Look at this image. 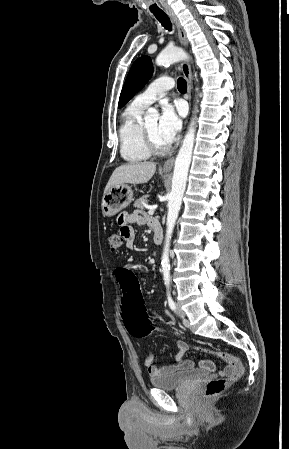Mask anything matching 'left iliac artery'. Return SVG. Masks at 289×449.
<instances>
[{"mask_svg":"<svg viewBox=\"0 0 289 449\" xmlns=\"http://www.w3.org/2000/svg\"><path fill=\"white\" fill-rule=\"evenodd\" d=\"M167 299H168V305L170 307L171 310H175L176 309V305L175 302L173 301L170 291H167Z\"/></svg>","mask_w":289,"mask_h":449,"instance_id":"obj_1","label":"left iliac artery"}]
</instances>
